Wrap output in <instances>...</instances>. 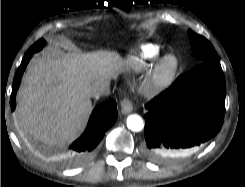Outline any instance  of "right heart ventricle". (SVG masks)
I'll use <instances>...</instances> for the list:
<instances>
[{
	"instance_id": "right-heart-ventricle-1",
	"label": "right heart ventricle",
	"mask_w": 245,
	"mask_h": 187,
	"mask_svg": "<svg viewBox=\"0 0 245 187\" xmlns=\"http://www.w3.org/2000/svg\"><path fill=\"white\" fill-rule=\"evenodd\" d=\"M159 54V47L154 44H144L140 47V61L145 63L155 59Z\"/></svg>"
}]
</instances>
